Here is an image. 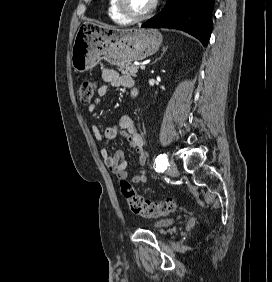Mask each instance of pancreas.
<instances>
[{
    "label": "pancreas",
    "instance_id": "cf45deb5",
    "mask_svg": "<svg viewBox=\"0 0 272 282\" xmlns=\"http://www.w3.org/2000/svg\"><path fill=\"white\" fill-rule=\"evenodd\" d=\"M118 69L125 76L136 77L139 68L136 65L128 63V64H121Z\"/></svg>",
    "mask_w": 272,
    "mask_h": 282
}]
</instances>
